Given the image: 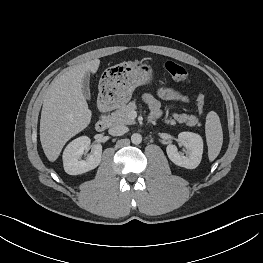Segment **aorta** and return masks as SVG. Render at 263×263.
Returning <instances> with one entry per match:
<instances>
[{
    "instance_id": "obj_1",
    "label": "aorta",
    "mask_w": 263,
    "mask_h": 263,
    "mask_svg": "<svg viewBox=\"0 0 263 263\" xmlns=\"http://www.w3.org/2000/svg\"><path fill=\"white\" fill-rule=\"evenodd\" d=\"M131 141L133 144L138 145L142 142V136L139 133H134L131 136Z\"/></svg>"
}]
</instances>
